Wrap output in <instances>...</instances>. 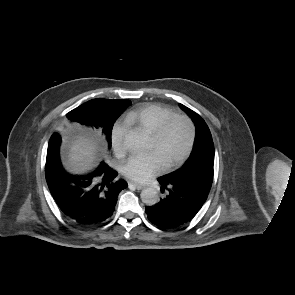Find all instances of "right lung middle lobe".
<instances>
[{
  "label": "right lung middle lobe",
  "mask_w": 295,
  "mask_h": 295,
  "mask_svg": "<svg viewBox=\"0 0 295 295\" xmlns=\"http://www.w3.org/2000/svg\"><path fill=\"white\" fill-rule=\"evenodd\" d=\"M130 104L129 100L120 99L114 101L106 99L90 100L72 110L69 116L73 121L101 129L111 145V132L114 122ZM64 173L65 171L57 155L47 159L45 167L46 178H51L53 174L63 175Z\"/></svg>",
  "instance_id": "dd1d6c3e"
}]
</instances>
